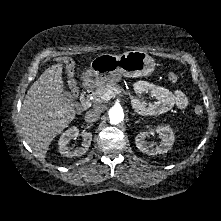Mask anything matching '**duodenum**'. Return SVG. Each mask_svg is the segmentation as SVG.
Listing matches in <instances>:
<instances>
[{
	"label": "duodenum",
	"mask_w": 221,
	"mask_h": 221,
	"mask_svg": "<svg viewBox=\"0 0 221 221\" xmlns=\"http://www.w3.org/2000/svg\"><path fill=\"white\" fill-rule=\"evenodd\" d=\"M92 103V89L85 88L80 96V105L83 110H88Z\"/></svg>",
	"instance_id": "1"
}]
</instances>
